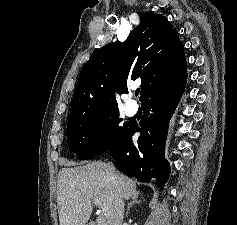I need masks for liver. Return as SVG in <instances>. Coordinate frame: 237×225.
<instances>
[{
    "label": "liver",
    "instance_id": "1",
    "mask_svg": "<svg viewBox=\"0 0 237 225\" xmlns=\"http://www.w3.org/2000/svg\"><path fill=\"white\" fill-rule=\"evenodd\" d=\"M57 185L60 225H86L92 213L93 199H98L106 208L96 218V225H122L124 200L138 192L135 181L102 161L62 168Z\"/></svg>",
    "mask_w": 237,
    "mask_h": 225
}]
</instances>
